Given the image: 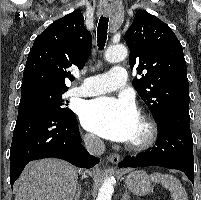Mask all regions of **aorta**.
I'll return each instance as SVG.
<instances>
[{
  "label": "aorta",
  "mask_w": 201,
  "mask_h": 200,
  "mask_svg": "<svg viewBox=\"0 0 201 200\" xmlns=\"http://www.w3.org/2000/svg\"><path fill=\"white\" fill-rule=\"evenodd\" d=\"M127 53V48L123 45L110 46L105 53V59L110 63H117L124 60ZM114 182L113 176L107 177L99 189L96 200H111Z\"/></svg>",
  "instance_id": "762f6f07"
}]
</instances>
